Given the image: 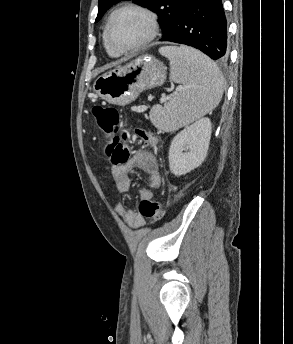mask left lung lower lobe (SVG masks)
<instances>
[{"label": "left lung lower lobe", "instance_id": "0a47b994", "mask_svg": "<svg viewBox=\"0 0 293 344\" xmlns=\"http://www.w3.org/2000/svg\"><path fill=\"white\" fill-rule=\"evenodd\" d=\"M160 41L192 46L213 60L225 61L227 21L221 0H185L174 24Z\"/></svg>", "mask_w": 293, "mask_h": 344}]
</instances>
